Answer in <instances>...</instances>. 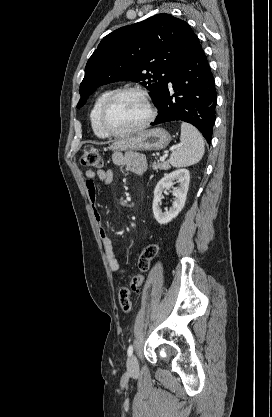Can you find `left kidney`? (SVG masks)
I'll return each mask as SVG.
<instances>
[{"instance_id":"obj_1","label":"left kidney","mask_w":272,"mask_h":417,"mask_svg":"<svg viewBox=\"0 0 272 417\" xmlns=\"http://www.w3.org/2000/svg\"><path fill=\"white\" fill-rule=\"evenodd\" d=\"M179 182V187L172 191L174 198L172 207L163 212L160 207L162 192L165 189L172 188L174 182ZM190 173L187 169H178L171 173L165 174L157 183L154 190L153 214L159 224H167L178 216L185 205L186 196L189 188Z\"/></svg>"}]
</instances>
